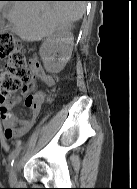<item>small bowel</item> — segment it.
<instances>
[{
    "instance_id": "c3829d8e",
    "label": "small bowel",
    "mask_w": 137,
    "mask_h": 189,
    "mask_svg": "<svg viewBox=\"0 0 137 189\" xmlns=\"http://www.w3.org/2000/svg\"><path fill=\"white\" fill-rule=\"evenodd\" d=\"M33 71L32 84L41 80L47 86L52 87L55 85V78L51 74L46 73L40 65L35 66ZM32 95L34 97L35 104L32 107H27L25 105L31 110L28 118H22L12 112L13 102L7 100L0 104V116L4 127V135L7 139L14 140L17 147L20 145L21 138L35 124L42 105L45 102L50 101V98H48L43 91H37ZM25 98L26 97H24V104Z\"/></svg>"
}]
</instances>
